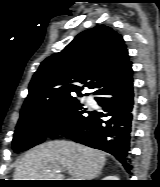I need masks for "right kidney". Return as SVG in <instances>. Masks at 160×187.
Here are the masks:
<instances>
[{
    "instance_id": "obj_1",
    "label": "right kidney",
    "mask_w": 160,
    "mask_h": 187,
    "mask_svg": "<svg viewBox=\"0 0 160 187\" xmlns=\"http://www.w3.org/2000/svg\"><path fill=\"white\" fill-rule=\"evenodd\" d=\"M103 180H119L117 176H107L106 178H103Z\"/></svg>"
}]
</instances>
